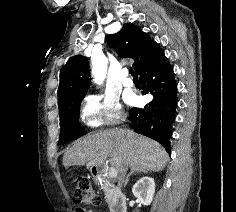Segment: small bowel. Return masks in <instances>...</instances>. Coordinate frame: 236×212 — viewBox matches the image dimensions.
Wrapping results in <instances>:
<instances>
[{"mask_svg": "<svg viewBox=\"0 0 236 212\" xmlns=\"http://www.w3.org/2000/svg\"><path fill=\"white\" fill-rule=\"evenodd\" d=\"M76 212H92L91 209H76Z\"/></svg>", "mask_w": 236, "mask_h": 212, "instance_id": "c3829d8e", "label": "small bowel"}]
</instances>
